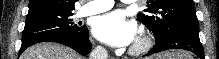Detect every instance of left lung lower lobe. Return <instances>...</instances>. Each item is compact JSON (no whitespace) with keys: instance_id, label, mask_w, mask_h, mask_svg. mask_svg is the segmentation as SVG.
Listing matches in <instances>:
<instances>
[{"instance_id":"left-lung-lower-lobe-1","label":"left lung lower lobe","mask_w":219,"mask_h":59,"mask_svg":"<svg viewBox=\"0 0 219 59\" xmlns=\"http://www.w3.org/2000/svg\"><path fill=\"white\" fill-rule=\"evenodd\" d=\"M155 39V46L144 56L169 49H184L204 59V52L199 39V23L196 21L183 23L174 28L168 35Z\"/></svg>"}]
</instances>
